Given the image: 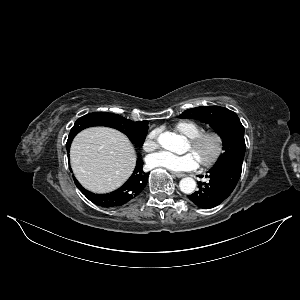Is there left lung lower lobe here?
<instances>
[{
	"mask_svg": "<svg viewBox=\"0 0 300 300\" xmlns=\"http://www.w3.org/2000/svg\"><path fill=\"white\" fill-rule=\"evenodd\" d=\"M242 172V162L225 160L215 164L206 175L209 182H199V190L188 198L196 206L204 209L221 204L234 190Z\"/></svg>",
	"mask_w": 300,
	"mask_h": 300,
	"instance_id": "obj_1",
	"label": "left lung lower lobe"
}]
</instances>
